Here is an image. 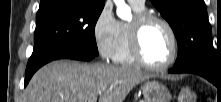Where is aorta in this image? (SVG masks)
Here are the masks:
<instances>
[{
  "label": "aorta",
  "instance_id": "obj_1",
  "mask_svg": "<svg viewBox=\"0 0 221 102\" xmlns=\"http://www.w3.org/2000/svg\"><path fill=\"white\" fill-rule=\"evenodd\" d=\"M114 2L117 6V16L123 20H129L131 18L130 7L125 3L124 0H114Z\"/></svg>",
  "mask_w": 221,
  "mask_h": 102
}]
</instances>
